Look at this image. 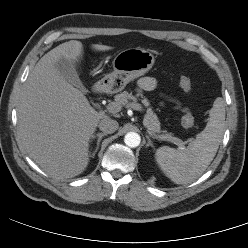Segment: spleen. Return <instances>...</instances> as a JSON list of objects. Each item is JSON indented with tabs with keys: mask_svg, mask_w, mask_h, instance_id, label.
Returning a JSON list of instances; mask_svg holds the SVG:
<instances>
[{
	"mask_svg": "<svg viewBox=\"0 0 248 248\" xmlns=\"http://www.w3.org/2000/svg\"><path fill=\"white\" fill-rule=\"evenodd\" d=\"M225 107L217 98L205 129L183 150L168 146L156 150L155 159L163 173L176 184L198 179L214 159L224 132Z\"/></svg>",
	"mask_w": 248,
	"mask_h": 248,
	"instance_id": "1",
	"label": "spleen"
}]
</instances>
